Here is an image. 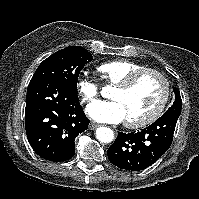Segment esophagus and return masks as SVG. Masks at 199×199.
<instances>
[{"label": "esophagus", "mask_w": 199, "mask_h": 199, "mask_svg": "<svg viewBox=\"0 0 199 199\" xmlns=\"http://www.w3.org/2000/svg\"><path fill=\"white\" fill-rule=\"evenodd\" d=\"M98 126H99L98 124L92 122V123L89 124V129H90V130H94V129H96Z\"/></svg>", "instance_id": "obj_1"}]
</instances>
